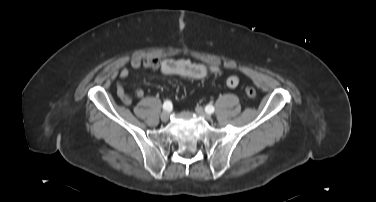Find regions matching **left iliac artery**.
I'll list each match as a JSON object with an SVG mask.
<instances>
[{
  "instance_id": "obj_1",
  "label": "left iliac artery",
  "mask_w": 376,
  "mask_h": 202,
  "mask_svg": "<svg viewBox=\"0 0 376 202\" xmlns=\"http://www.w3.org/2000/svg\"><path fill=\"white\" fill-rule=\"evenodd\" d=\"M214 110H215V108H214L213 105H207V106L205 107V111H206L207 113H209V114L213 113Z\"/></svg>"
}]
</instances>
